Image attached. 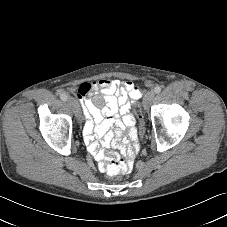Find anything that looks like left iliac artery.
Listing matches in <instances>:
<instances>
[{
	"mask_svg": "<svg viewBox=\"0 0 227 227\" xmlns=\"http://www.w3.org/2000/svg\"><path fill=\"white\" fill-rule=\"evenodd\" d=\"M161 90H162L161 86H156V87L154 88V92H155L156 94L160 93Z\"/></svg>",
	"mask_w": 227,
	"mask_h": 227,
	"instance_id": "44dca946",
	"label": "left iliac artery"
}]
</instances>
